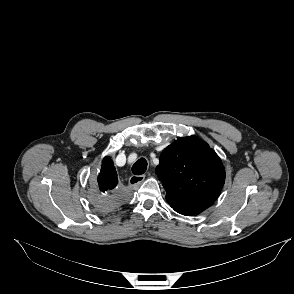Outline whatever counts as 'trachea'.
Masks as SVG:
<instances>
[{
  "mask_svg": "<svg viewBox=\"0 0 294 294\" xmlns=\"http://www.w3.org/2000/svg\"><path fill=\"white\" fill-rule=\"evenodd\" d=\"M147 169V161L144 158L139 159L132 167V172L135 175H142Z\"/></svg>",
  "mask_w": 294,
  "mask_h": 294,
  "instance_id": "obj_1",
  "label": "trachea"
}]
</instances>
